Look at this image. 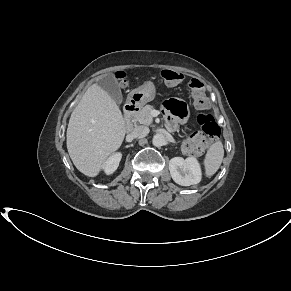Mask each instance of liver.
Segmentation results:
<instances>
[{"instance_id": "1", "label": "liver", "mask_w": 291, "mask_h": 291, "mask_svg": "<svg viewBox=\"0 0 291 291\" xmlns=\"http://www.w3.org/2000/svg\"><path fill=\"white\" fill-rule=\"evenodd\" d=\"M125 134L126 123L118 105L105 90L93 84L69 119L68 153L81 173L95 177L120 148Z\"/></svg>"}]
</instances>
